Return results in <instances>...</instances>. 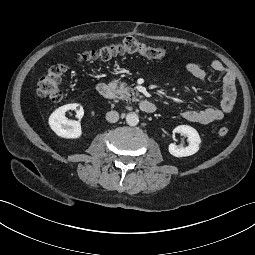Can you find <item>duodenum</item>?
<instances>
[{
	"label": "duodenum",
	"mask_w": 255,
	"mask_h": 255,
	"mask_svg": "<svg viewBox=\"0 0 255 255\" xmlns=\"http://www.w3.org/2000/svg\"><path fill=\"white\" fill-rule=\"evenodd\" d=\"M98 93L106 99H111L113 97V91L110 86L105 82H100L97 84ZM139 108L145 113H153L156 110V105L149 100H142L139 103Z\"/></svg>",
	"instance_id": "1"
}]
</instances>
